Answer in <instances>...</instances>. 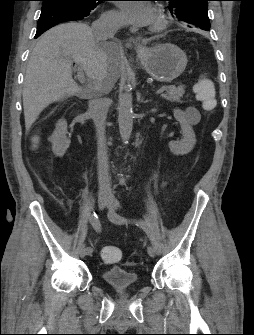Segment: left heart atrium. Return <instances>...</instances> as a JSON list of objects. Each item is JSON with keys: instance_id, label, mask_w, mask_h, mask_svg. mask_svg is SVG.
Instances as JSON below:
<instances>
[{"instance_id": "1", "label": "left heart atrium", "mask_w": 254, "mask_h": 335, "mask_svg": "<svg viewBox=\"0 0 254 335\" xmlns=\"http://www.w3.org/2000/svg\"><path fill=\"white\" fill-rule=\"evenodd\" d=\"M124 21L136 28L150 27L156 21V12L144 1H122L119 3Z\"/></svg>"}]
</instances>
